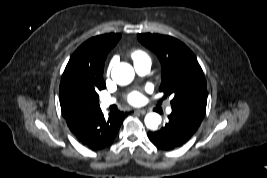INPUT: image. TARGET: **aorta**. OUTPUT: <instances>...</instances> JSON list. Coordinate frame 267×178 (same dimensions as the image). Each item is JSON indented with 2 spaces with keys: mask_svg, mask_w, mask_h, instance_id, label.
Instances as JSON below:
<instances>
[{
  "mask_svg": "<svg viewBox=\"0 0 267 178\" xmlns=\"http://www.w3.org/2000/svg\"><path fill=\"white\" fill-rule=\"evenodd\" d=\"M112 79L119 85H127L134 79L135 72L128 63H117L111 72ZM145 125L151 130H156L161 124V116L157 113H148L144 119Z\"/></svg>",
  "mask_w": 267,
  "mask_h": 178,
  "instance_id": "1",
  "label": "aorta"
}]
</instances>
